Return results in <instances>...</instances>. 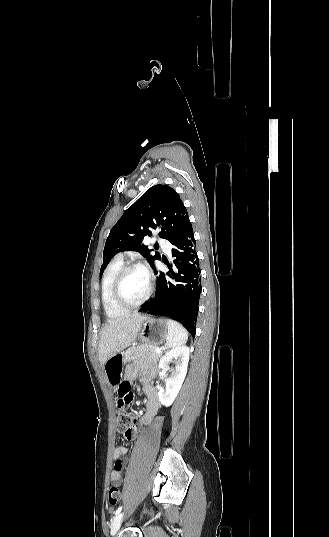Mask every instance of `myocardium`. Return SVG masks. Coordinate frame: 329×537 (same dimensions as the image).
Listing matches in <instances>:
<instances>
[{
	"mask_svg": "<svg viewBox=\"0 0 329 537\" xmlns=\"http://www.w3.org/2000/svg\"><path fill=\"white\" fill-rule=\"evenodd\" d=\"M143 268L144 267H142L140 264H137V263L123 265L115 278L114 288H113L114 300L118 306H120L121 308L125 310H130V309H135V308L140 307L143 303H145L148 300V298L150 297L153 291V286H154L153 279L151 275L147 272L148 289L146 293L144 294V296L135 303H129L123 298L122 283H123L124 277L126 276L127 273H129L132 270H135V269L142 270Z\"/></svg>",
	"mask_w": 329,
	"mask_h": 537,
	"instance_id": "myocardium-1",
	"label": "myocardium"
}]
</instances>
